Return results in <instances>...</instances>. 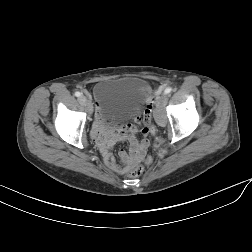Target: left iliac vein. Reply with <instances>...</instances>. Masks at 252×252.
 I'll return each mask as SVG.
<instances>
[{"instance_id":"4c4485c4","label":"left iliac vein","mask_w":252,"mask_h":252,"mask_svg":"<svg viewBox=\"0 0 252 252\" xmlns=\"http://www.w3.org/2000/svg\"><path fill=\"white\" fill-rule=\"evenodd\" d=\"M167 103V95L166 94H162L161 96L158 97V106L159 108H163ZM158 116L161 115V112H158Z\"/></svg>"}]
</instances>
